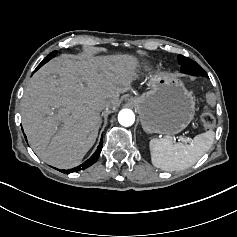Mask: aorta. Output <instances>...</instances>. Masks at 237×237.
<instances>
[{"label": "aorta", "instance_id": "1", "mask_svg": "<svg viewBox=\"0 0 237 237\" xmlns=\"http://www.w3.org/2000/svg\"><path fill=\"white\" fill-rule=\"evenodd\" d=\"M118 121L124 127L131 126L135 121V115L130 109H122L118 114Z\"/></svg>", "mask_w": 237, "mask_h": 237}]
</instances>
